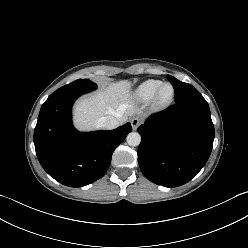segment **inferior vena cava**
I'll return each instance as SVG.
<instances>
[{
    "label": "inferior vena cava",
    "instance_id": "inferior-vena-cava-1",
    "mask_svg": "<svg viewBox=\"0 0 248 248\" xmlns=\"http://www.w3.org/2000/svg\"><path fill=\"white\" fill-rule=\"evenodd\" d=\"M120 124V114H117L116 116H104L101 117L98 122L97 125L98 127L104 128V129H115L116 127H118Z\"/></svg>",
    "mask_w": 248,
    "mask_h": 248
}]
</instances>
